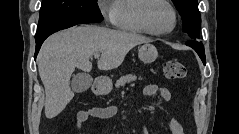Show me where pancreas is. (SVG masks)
<instances>
[{
  "instance_id": "pancreas-1",
  "label": "pancreas",
  "mask_w": 239,
  "mask_h": 134,
  "mask_svg": "<svg viewBox=\"0 0 239 134\" xmlns=\"http://www.w3.org/2000/svg\"><path fill=\"white\" fill-rule=\"evenodd\" d=\"M141 79V78H139ZM137 80V77L135 75L132 74H128L126 76H121L115 84L116 88H119L120 86H124L126 83H130V82H134Z\"/></svg>"
}]
</instances>
